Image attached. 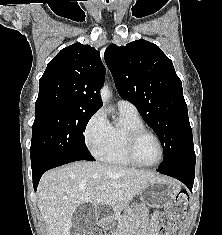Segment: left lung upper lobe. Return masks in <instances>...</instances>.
<instances>
[{
    "mask_svg": "<svg viewBox=\"0 0 222 235\" xmlns=\"http://www.w3.org/2000/svg\"><path fill=\"white\" fill-rule=\"evenodd\" d=\"M104 57L119 95L136 106L161 141L159 168L195 164L187 105L172 61L144 39L126 46L111 44Z\"/></svg>",
    "mask_w": 222,
    "mask_h": 235,
    "instance_id": "obj_1",
    "label": "left lung upper lobe"
}]
</instances>
